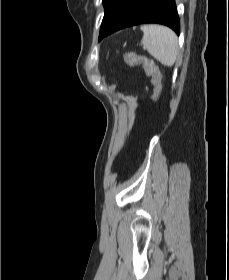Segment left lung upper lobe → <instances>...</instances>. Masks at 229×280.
<instances>
[{
    "label": "left lung upper lobe",
    "mask_w": 229,
    "mask_h": 280,
    "mask_svg": "<svg viewBox=\"0 0 229 280\" xmlns=\"http://www.w3.org/2000/svg\"><path fill=\"white\" fill-rule=\"evenodd\" d=\"M127 2L128 0H103L105 14L99 37L105 33L118 19Z\"/></svg>",
    "instance_id": "5c2ea615"
}]
</instances>
